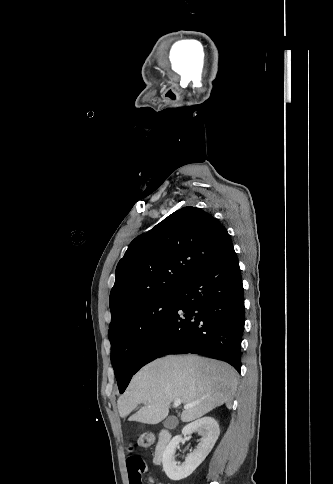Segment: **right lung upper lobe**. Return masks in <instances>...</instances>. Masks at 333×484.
I'll return each mask as SVG.
<instances>
[{
    "instance_id": "1",
    "label": "right lung upper lobe",
    "mask_w": 333,
    "mask_h": 484,
    "mask_svg": "<svg viewBox=\"0 0 333 484\" xmlns=\"http://www.w3.org/2000/svg\"><path fill=\"white\" fill-rule=\"evenodd\" d=\"M232 245L211 214L188 206L136 237L116 268L111 323L156 296L180 291ZM110 323V324H111Z\"/></svg>"
}]
</instances>
